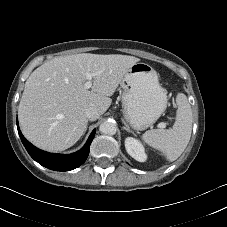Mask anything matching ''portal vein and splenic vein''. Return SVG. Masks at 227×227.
Listing matches in <instances>:
<instances>
[{"label":"portal vein and splenic vein","mask_w":227,"mask_h":227,"mask_svg":"<svg viewBox=\"0 0 227 227\" xmlns=\"http://www.w3.org/2000/svg\"><path fill=\"white\" fill-rule=\"evenodd\" d=\"M86 78H87V81H86V83L84 84V87L86 88V89H90L91 87H92V80H93V74L92 73H90V72H87L86 74ZM159 128H165L166 127V123H164V122H161V123H159L158 125H157Z\"/></svg>","instance_id":"18ae733b"}]
</instances>
